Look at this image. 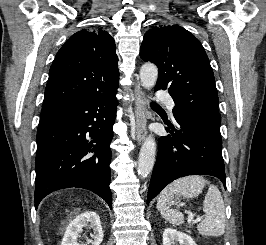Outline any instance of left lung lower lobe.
<instances>
[{"label":"left lung lower lobe","instance_id":"1","mask_svg":"<svg viewBox=\"0 0 266 245\" xmlns=\"http://www.w3.org/2000/svg\"><path fill=\"white\" fill-rule=\"evenodd\" d=\"M172 136L160 137L158 154L148 189L147 204L175 179L188 175L219 178L226 188L220 124L197 114L174 111Z\"/></svg>","mask_w":266,"mask_h":245}]
</instances>
